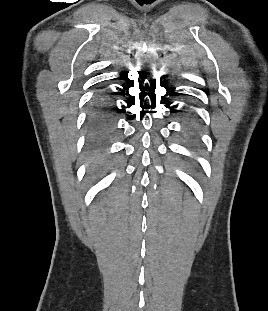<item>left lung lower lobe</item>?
Instances as JSON below:
<instances>
[{"mask_svg": "<svg viewBox=\"0 0 268 311\" xmlns=\"http://www.w3.org/2000/svg\"><path fill=\"white\" fill-rule=\"evenodd\" d=\"M185 116L189 119V120H191L193 117H192V113H190V112H185Z\"/></svg>", "mask_w": 268, "mask_h": 311, "instance_id": "obj_1", "label": "left lung lower lobe"}]
</instances>
